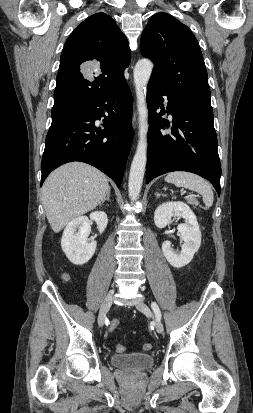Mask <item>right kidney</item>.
<instances>
[{"label":"right kidney","instance_id":"right-kidney-1","mask_svg":"<svg viewBox=\"0 0 253 413\" xmlns=\"http://www.w3.org/2000/svg\"><path fill=\"white\" fill-rule=\"evenodd\" d=\"M89 218L86 216L75 218L67 224L62 235V250L67 258L76 265L87 263L95 253L97 242L88 243L92 221L96 222L100 234L108 223V217L103 211L92 212ZM77 230L78 232H76Z\"/></svg>","mask_w":253,"mask_h":413}]
</instances>
